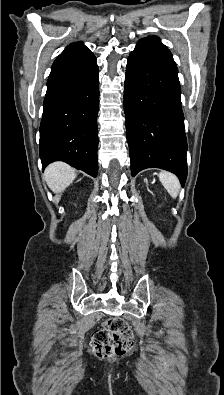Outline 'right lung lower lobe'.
I'll return each mask as SVG.
<instances>
[{"instance_id":"98d812e1","label":"right lung lower lobe","mask_w":224,"mask_h":395,"mask_svg":"<svg viewBox=\"0 0 224 395\" xmlns=\"http://www.w3.org/2000/svg\"><path fill=\"white\" fill-rule=\"evenodd\" d=\"M99 69L81 42L54 61L47 81L40 125L42 168L57 160L96 177Z\"/></svg>"}]
</instances>
